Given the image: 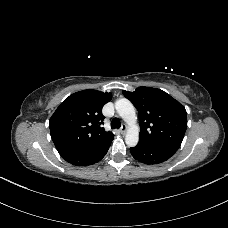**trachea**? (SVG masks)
Returning a JSON list of instances; mask_svg holds the SVG:
<instances>
[{
    "mask_svg": "<svg viewBox=\"0 0 228 228\" xmlns=\"http://www.w3.org/2000/svg\"><path fill=\"white\" fill-rule=\"evenodd\" d=\"M121 127V122L118 118H113V120L111 121V128L113 129H118Z\"/></svg>",
    "mask_w": 228,
    "mask_h": 228,
    "instance_id": "trachea-1",
    "label": "trachea"
}]
</instances>
